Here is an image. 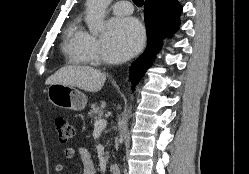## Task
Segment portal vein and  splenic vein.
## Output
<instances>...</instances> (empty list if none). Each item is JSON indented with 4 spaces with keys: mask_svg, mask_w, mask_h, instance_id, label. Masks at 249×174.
Here are the masks:
<instances>
[{
    "mask_svg": "<svg viewBox=\"0 0 249 174\" xmlns=\"http://www.w3.org/2000/svg\"><path fill=\"white\" fill-rule=\"evenodd\" d=\"M107 126V121L105 119H98L94 123V130L103 131Z\"/></svg>",
    "mask_w": 249,
    "mask_h": 174,
    "instance_id": "18ae733b",
    "label": "portal vein and splenic vein"
}]
</instances>
